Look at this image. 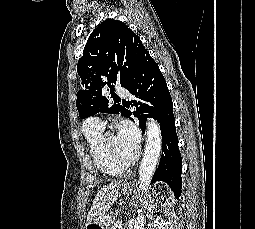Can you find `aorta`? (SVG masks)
Wrapping results in <instances>:
<instances>
[{
	"label": "aorta",
	"instance_id": "aorta-1",
	"mask_svg": "<svg viewBox=\"0 0 255 229\" xmlns=\"http://www.w3.org/2000/svg\"><path fill=\"white\" fill-rule=\"evenodd\" d=\"M162 147L161 129L157 121L150 119L147 123V139L143 159L139 168V187L143 193L147 191L151 178L158 163ZM145 216L139 214L133 229H144Z\"/></svg>",
	"mask_w": 255,
	"mask_h": 229
}]
</instances>
